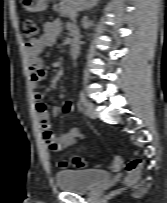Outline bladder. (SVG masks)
<instances>
[{"label":"bladder","mask_w":167,"mask_h":203,"mask_svg":"<svg viewBox=\"0 0 167 203\" xmlns=\"http://www.w3.org/2000/svg\"><path fill=\"white\" fill-rule=\"evenodd\" d=\"M110 178V173L98 169L61 170L55 174L57 187L69 193L90 192Z\"/></svg>","instance_id":"obj_1"}]
</instances>
